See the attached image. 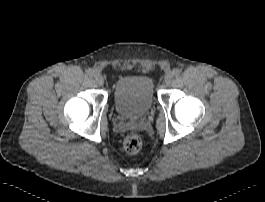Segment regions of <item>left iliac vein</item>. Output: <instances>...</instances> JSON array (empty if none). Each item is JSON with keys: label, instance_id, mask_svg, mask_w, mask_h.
Masks as SVG:
<instances>
[{"label": "left iliac vein", "instance_id": "1", "mask_svg": "<svg viewBox=\"0 0 265 202\" xmlns=\"http://www.w3.org/2000/svg\"><path fill=\"white\" fill-rule=\"evenodd\" d=\"M174 73L171 71V72H168L167 74H166V76H165V84H167V85H170L171 83H172V81H173V78H174Z\"/></svg>", "mask_w": 265, "mask_h": 202}]
</instances>
